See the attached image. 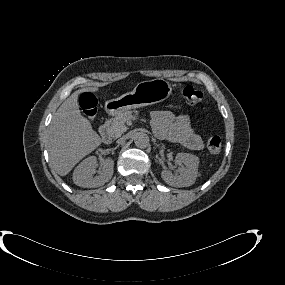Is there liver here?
<instances>
[{
  "label": "liver",
  "mask_w": 285,
  "mask_h": 285,
  "mask_svg": "<svg viewBox=\"0 0 285 285\" xmlns=\"http://www.w3.org/2000/svg\"><path fill=\"white\" fill-rule=\"evenodd\" d=\"M97 88H84L72 93L53 116L47 149L50 163L60 176L67 175L86 155L101 144V138L91 123L80 113L78 97L82 92H95Z\"/></svg>",
  "instance_id": "obj_1"
}]
</instances>
